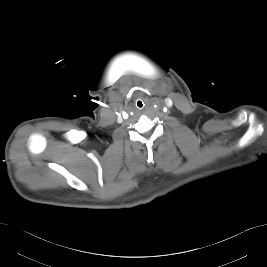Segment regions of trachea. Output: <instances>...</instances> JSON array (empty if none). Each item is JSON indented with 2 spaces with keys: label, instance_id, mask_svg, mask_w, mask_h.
Here are the masks:
<instances>
[{
  "label": "trachea",
  "instance_id": "1",
  "mask_svg": "<svg viewBox=\"0 0 267 267\" xmlns=\"http://www.w3.org/2000/svg\"><path fill=\"white\" fill-rule=\"evenodd\" d=\"M137 105H138L139 108H141L143 106L141 101H139Z\"/></svg>",
  "mask_w": 267,
  "mask_h": 267
}]
</instances>
